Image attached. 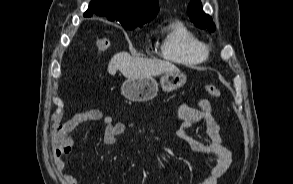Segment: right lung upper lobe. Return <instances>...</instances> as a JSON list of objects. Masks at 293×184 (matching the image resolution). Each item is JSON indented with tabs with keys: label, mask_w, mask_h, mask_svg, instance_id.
Masks as SVG:
<instances>
[{
	"label": "right lung upper lobe",
	"mask_w": 293,
	"mask_h": 184,
	"mask_svg": "<svg viewBox=\"0 0 293 184\" xmlns=\"http://www.w3.org/2000/svg\"><path fill=\"white\" fill-rule=\"evenodd\" d=\"M159 12L157 0H92L85 17L93 13L105 16L122 25L130 23H146Z\"/></svg>",
	"instance_id": "cb5924a9"
}]
</instances>
